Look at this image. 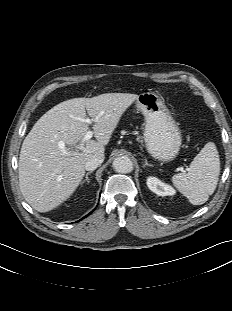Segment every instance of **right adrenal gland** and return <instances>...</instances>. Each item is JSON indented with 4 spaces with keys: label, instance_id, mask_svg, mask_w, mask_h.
Instances as JSON below:
<instances>
[{
    "label": "right adrenal gland",
    "instance_id": "right-adrenal-gland-1",
    "mask_svg": "<svg viewBox=\"0 0 232 311\" xmlns=\"http://www.w3.org/2000/svg\"><path fill=\"white\" fill-rule=\"evenodd\" d=\"M91 173H92V171H90V172H87V173H86L85 180H84V181H82V183H81V184H84V183H86V182H87V183H89V182H90V181H89V177H88V176H89Z\"/></svg>",
    "mask_w": 232,
    "mask_h": 311
}]
</instances>
